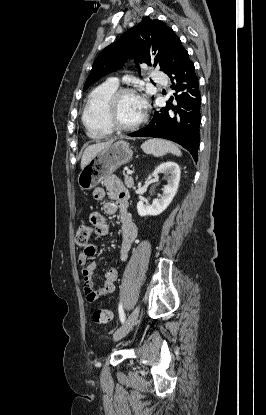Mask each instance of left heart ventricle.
<instances>
[{
  "mask_svg": "<svg viewBox=\"0 0 266 415\" xmlns=\"http://www.w3.org/2000/svg\"><path fill=\"white\" fill-rule=\"evenodd\" d=\"M142 114L143 109L139 106L136 96L127 94L119 99L116 115L120 123L132 125L139 121Z\"/></svg>",
  "mask_w": 266,
  "mask_h": 415,
  "instance_id": "left-heart-ventricle-1",
  "label": "left heart ventricle"
}]
</instances>
